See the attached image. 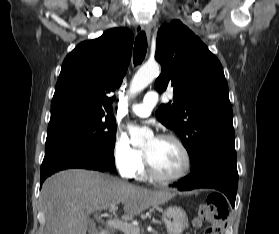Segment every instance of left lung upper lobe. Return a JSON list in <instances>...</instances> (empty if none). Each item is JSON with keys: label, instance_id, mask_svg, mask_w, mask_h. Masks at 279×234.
Instances as JSON below:
<instances>
[{"label": "left lung upper lobe", "instance_id": "obj_1", "mask_svg": "<svg viewBox=\"0 0 279 234\" xmlns=\"http://www.w3.org/2000/svg\"><path fill=\"white\" fill-rule=\"evenodd\" d=\"M155 59L162 65L158 92L173 87V102L156 111L188 151L192 171L214 152L235 150L233 111L220 61L181 21L164 23Z\"/></svg>", "mask_w": 279, "mask_h": 234}]
</instances>
